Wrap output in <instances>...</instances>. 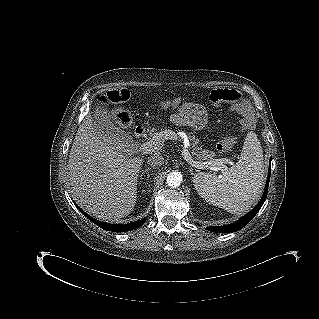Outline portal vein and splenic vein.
Returning a JSON list of instances; mask_svg holds the SVG:
<instances>
[{"instance_id": "1", "label": "portal vein and splenic vein", "mask_w": 319, "mask_h": 319, "mask_svg": "<svg viewBox=\"0 0 319 319\" xmlns=\"http://www.w3.org/2000/svg\"><path fill=\"white\" fill-rule=\"evenodd\" d=\"M178 134L171 131V130H164L161 131L159 133H156V135L153 137V139L151 141L145 142L140 146V150L145 152V153H150V152H155L156 150L159 149V144H160V140H167V139H171V140H177ZM188 139L187 137L184 138V142H183V151H182V156L184 158V160H186L191 166L198 168V169H210L213 171H217V170H221V171H226V159H217L214 162H199L193 159V157L190 155L189 150H188Z\"/></svg>"}]
</instances>
